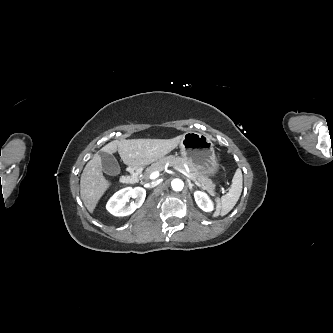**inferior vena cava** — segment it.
I'll use <instances>...</instances> for the list:
<instances>
[{
  "instance_id": "1",
  "label": "inferior vena cava",
  "mask_w": 333,
  "mask_h": 333,
  "mask_svg": "<svg viewBox=\"0 0 333 333\" xmlns=\"http://www.w3.org/2000/svg\"><path fill=\"white\" fill-rule=\"evenodd\" d=\"M157 185V182H152L150 185H149V187H155Z\"/></svg>"
}]
</instances>
